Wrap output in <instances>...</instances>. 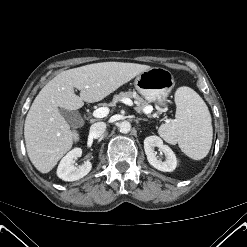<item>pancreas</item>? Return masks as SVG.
<instances>
[{
  "mask_svg": "<svg viewBox=\"0 0 247 247\" xmlns=\"http://www.w3.org/2000/svg\"><path fill=\"white\" fill-rule=\"evenodd\" d=\"M123 98H134L135 103L137 105L136 110L141 111L143 108H145L148 104L146 101H144L141 97H139L135 92H121L118 95H114L112 102L109 104L110 106H114L118 101H120Z\"/></svg>",
  "mask_w": 247,
  "mask_h": 247,
  "instance_id": "cf45deb5",
  "label": "pancreas"
}]
</instances>
